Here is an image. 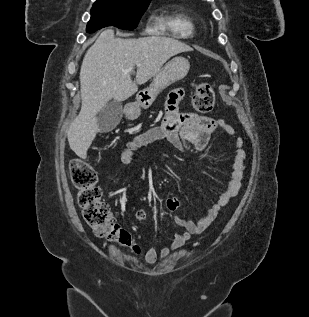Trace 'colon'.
Instances as JSON below:
<instances>
[{"label": "colon", "instance_id": "5ec220e1", "mask_svg": "<svg viewBox=\"0 0 309 317\" xmlns=\"http://www.w3.org/2000/svg\"><path fill=\"white\" fill-rule=\"evenodd\" d=\"M215 103V95L208 83L200 84L191 98V107L200 113L210 112ZM73 185L78 189V204L86 223L94 233L106 240L138 252L130 234L114 219L110 208L102 199V191L97 186V173L89 163L80 158L69 164Z\"/></svg>", "mask_w": 309, "mask_h": 317}]
</instances>
